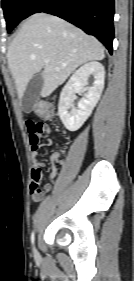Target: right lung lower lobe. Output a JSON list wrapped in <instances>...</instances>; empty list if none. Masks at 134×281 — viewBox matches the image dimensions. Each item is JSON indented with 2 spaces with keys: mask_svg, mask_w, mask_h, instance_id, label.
I'll return each instance as SVG.
<instances>
[{
  "mask_svg": "<svg viewBox=\"0 0 134 281\" xmlns=\"http://www.w3.org/2000/svg\"><path fill=\"white\" fill-rule=\"evenodd\" d=\"M38 12L58 16L94 35L112 54L114 0H35L27 14Z\"/></svg>",
  "mask_w": 134,
  "mask_h": 281,
  "instance_id": "98d812e1",
  "label": "right lung lower lobe"
}]
</instances>
